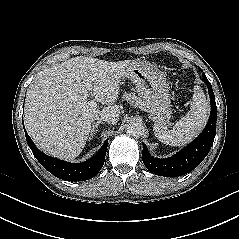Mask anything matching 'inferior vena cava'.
I'll return each instance as SVG.
<instances>
[{"label":"inferior vena cava","mask_w":239,"mask_h":239,"mask_svg":"<svg viewBox=\"0 0 239 239\" xmlns=\"http://www.w3.org/2000/svg\"><path fill=\"white\" fill-rule=\"evenodd\" d=\"M93 120L100 121V122L105 121L108 124H115V119L108 115H101V116L97 115L94 117Z\"/></svg>","instance_id":"602c4592"}]
</instances>
